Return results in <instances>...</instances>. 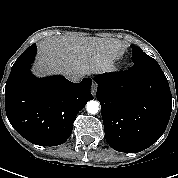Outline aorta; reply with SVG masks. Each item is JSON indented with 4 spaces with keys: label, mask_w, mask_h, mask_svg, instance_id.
Returning a JSON list of instances; mask_svg holds the SVG:
<instances>
[{
    "label": "aorta",
    "mask_w": 178,
    "mask_h": 178,
    "mask_svg": "<svg viewBox=\"0 0 178 178\" xmlns=\"http://www.w3.org/2000/svg\"><path fill=\"white\" fill-rule=\"evenodd\" d=\"M86 109L91 114H96L99 110V102L97 101H89L86 105Z\"/></svg>",
    "instance_id": "762f6f07"
}]
</instances>
